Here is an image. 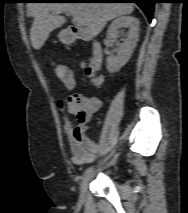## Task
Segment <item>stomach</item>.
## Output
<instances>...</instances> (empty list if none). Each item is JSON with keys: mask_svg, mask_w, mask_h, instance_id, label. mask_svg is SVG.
<instances>
[{"mask_svg": "<svg viewBox=\"0 0 188 213\" xmlns=\"http://www.w3.org/2000/svg\"><path fill=\"white\" fill-rule=\"evenodd\" d=\"M59 39L64 44H70L73 41V37L67 31H62L59 33Z\"/></svg>", "mask_w": 188, "mask_h": 213, "instance_id": "stomach-1", "label": "stomach"}]
</instances>
